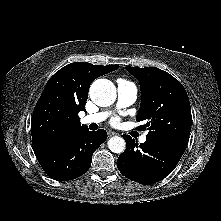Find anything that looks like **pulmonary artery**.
Instances as JSON below:
<instances>
[{"instance_id":"pulmonary-artery-1","label":"pulmonary artery","mask_w":221,"mask_h":221,"mask_svg":"<svg viewBox=\"0 0 221 221\" xmlns=\"http://www.w3.org/2000/svg\"><path fill=\"white\" fill-rule=\"evenodd\" d=\"M137 92H138L137 88L133 83L123 79H119L117 81L118 106L125 107L134 103L137 98ZM108 114H109L108 112H98L86 115L82 119V122L84 124H92V123L98 124L103 122L108 117ZM139 141L141 143H144L146 141V135H142L139 138Z\"/></svg>"}]
</instances>
